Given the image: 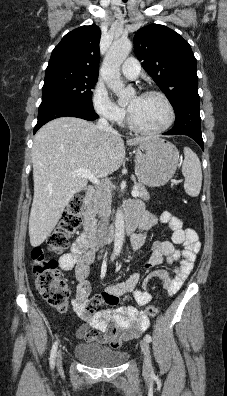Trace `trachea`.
<instances>
[{"label":"trachea","mask_w":227,"mask_h":396,"mask_svg":"<svg viewBox=\"0 0 227 396\" xmlns=\"http://www.w3.org/2000/svg\"><path fill=\"white\" fill-rule=\"evenodd\" d=\"M123 2H127V0H123Z\"/></svg>","instance_id":"obj_1"}]
</instances>
